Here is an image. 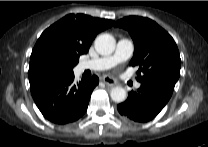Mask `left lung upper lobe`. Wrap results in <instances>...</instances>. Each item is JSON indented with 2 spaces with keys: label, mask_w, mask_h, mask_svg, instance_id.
Returning a JSON list of instances; mask_svg holds the SVG:
<instances>
[{
  "label": "left lung upper lobe",
  "mask_w": 208,
  "mask_h": 147,
  "mask_svg": "<svg viewBox=\"0 0 208 147\" xmlns=\"http://www.w3.org/2000/svg\"><path fill=\"white\" fill-rule=\"evenodd\" d=\"M115 26L128 30L134 41L130 65L139 66L137 80L159 83L174 90L181 59L173 38L149 18L129 16L118 20Z\"/></svg>",
  "instance_id": "obj_1"
}]
</instances>
